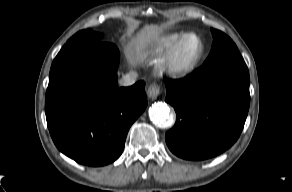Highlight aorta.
I'll return each instance as SVG.
<instances>
[{"label": "aorta", "instance_id": "obj_1", "mask_svg": "<svg viewBox=\"0 0 292 192\" xmlns=\"http://www.w3.org/2000/svg\"><path fill=\"white\" fill-rule=\"evenodd\" d=\"M151 121L160 128L170 127L173 123L170 118V108L166 103L157 102L149 108Z\"/></svg>", "mask_w": 292, "mask_h": 192}]
</instances>
